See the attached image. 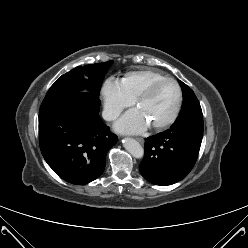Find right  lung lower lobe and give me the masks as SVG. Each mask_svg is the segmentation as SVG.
Listing matches in <instances>:
<instances>
[{
	"label": "right lung lower lobe",
	"mask_w": 248,
	"mask_h": 248,
	"mask_svg": "<svg viewBox=\"0 0 248 248\" xmlns=\"http://www.w3.org/2000/svg\"><path fill=\"white\" fill-rule=\"evenodd\" d=\"M100 100L78 95L39 114V144L53 171L65 181L82 185L98 178L108 150L118 138L99 116Z\"/></svg>",
	"instance_id": "right-lung-lower-lobe-1"
}]
</instances>
